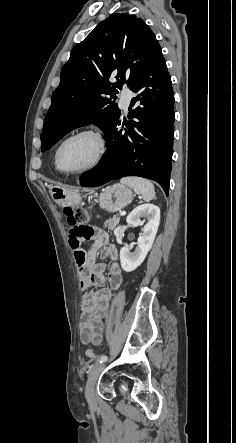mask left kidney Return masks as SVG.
<instances>
[{"label":"left kidney","mask_w":236,"mask_h":443,"mask_svg":"<svg viewBox=\"0 0 236 443\" xmlns=\"http://www.w3.org/2000/svg\"><path fill=\"white\" fill-rule=\"evenodd\" d=\"M140 218L147 219V222L142 228L143 233L137 240L134 252H131V248L128 246H124L120 250L121 267L126 272H131L140 266L152 248L160 223L159 207L154 204H142L127 216L126 222L137 227L142 224Z\"/></svg>","instance_id":"1"}]
</instances>
